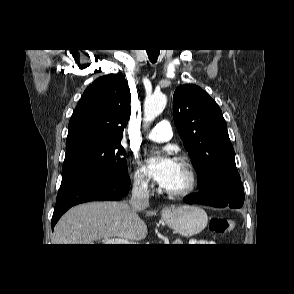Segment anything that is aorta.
<instances>
[{
  "instance_id": "1",
  "label": "aorta",
  "mask_w": 294,
  "mask_h": 294,
  "mask_svg": "<svg viewBox=\"0 0 294 294\" xmlns=\"http://www.w3.org/2000/svg\"><path fill=\"white\" fill-rule=\"evenodd\" d=\"M166 104L167 97L164 94H155L145 100L144 121L146 125L162 113Z\"/></svg>"
}]
</instances>
